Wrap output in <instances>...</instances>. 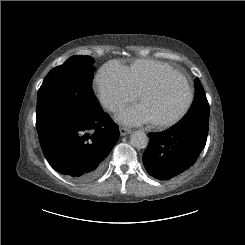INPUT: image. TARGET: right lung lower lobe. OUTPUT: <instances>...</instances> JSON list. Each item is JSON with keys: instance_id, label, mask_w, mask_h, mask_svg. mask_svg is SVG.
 I'll return each mask as SVG.
<instances>
[{"instance_id": "1", "label": "right lung lower lobe", "mask_w": 245, "mask_h": 245, "mask_svg": "<svg viewBox=\"0 0 245 245\" xmlns=\"http://www.w3.org/2000/svg\"><path fill=\"white\" fill-rule=\"evenodd\" d=\"M38 135L43 153L56 171L76 181H89L104 169L119 139V129L100 110L61 118L39 130Z\"/></svg>"}]
</instances>
